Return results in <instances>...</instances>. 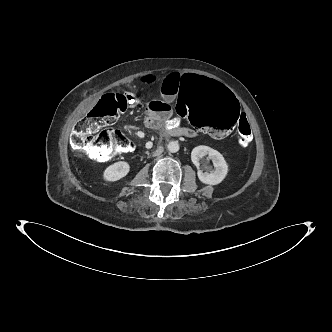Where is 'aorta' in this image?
<instances>
[{
  "instance_id": "obj_1",
  "label": "aorta",
  "mask_w": 332,
  "mask_h": 332,
  "mask_svg": "<svg viewBox=\"0 0 332 332\" xmlns=\"http://www.w3.org/2000/svg\"><path fill=\"white\" fill-rule=\"evenodd\" d=\"M168 151L171 152V153H176L179 151V144L177 141H171L168 146Z\"/></svg>"
}]
</instances>
